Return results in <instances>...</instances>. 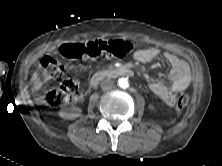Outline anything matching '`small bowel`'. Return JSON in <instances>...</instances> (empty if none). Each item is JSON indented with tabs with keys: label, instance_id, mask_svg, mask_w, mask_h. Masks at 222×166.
Returning a JSON list of instances; mask_svg holds the SVG:
<instances>
[{
	"label": "small bowel",
	"instance_id": "c3829d8e",
	"mask_svg": "<svg viewBox=\"0 0 222 166\" xmlns=\"http://www.w3.org/2000/svg\"><path fill=\"white\" fill-rule=\"evenodd\" d=\"M160 55L171 67L169 75L171 83L167 85L161 80H155L150 82L149 88L165 104L174 106L177 93L185 90L191 82V74L187 63L172 53L161 52L158 48L137 50L134 53V58L139 62H150Z\"/></svg>",
	"mask_w": 222,
	"mask_h": 166
}]
</instances>
